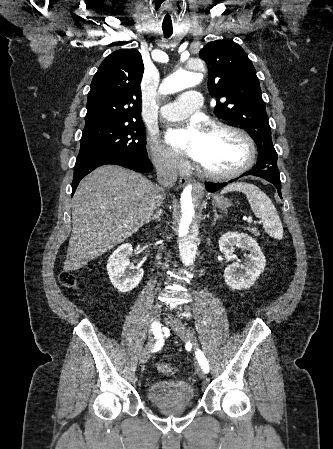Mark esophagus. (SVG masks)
I'll list each match as a JSON object with an SVG mask.
<instances>
[{"instance_id": "esophagus-1", "label": "esophagus", "mask_w": 333, "mask_h": 449, "mask_svg": "<svg viewBox=\"0 0 333 449\" xmlns=\"http://www.w3.org/2000/svg\"><path fill=\"white\" fill-rule=\"evenodd\" d=\"M189 183V180L187 179V178H180V180H179V184L181 185V186H186L187 184Z\"/></svg>"}]
</instances>
